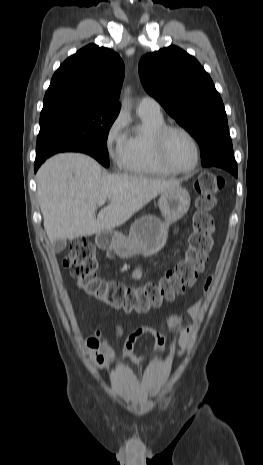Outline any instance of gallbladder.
Instances as JSON below:
<instances>
[{
    "mask_svg": "<svg viewBox=\"0 0 263 465\" xmlns=\"http://www.w3.org/2000/svg\"><path fill=\"white\" fill-rule=\"evenodd\" d=\"M65 247H66L65 239H58L52 243V249L56 253L62 252L65 249Z\"/></svg>",
    "mask_w": 263,
    "mask_h": 465,
    "instance_id": "1",
    "label": "gallbladder"
}]
</instances>
